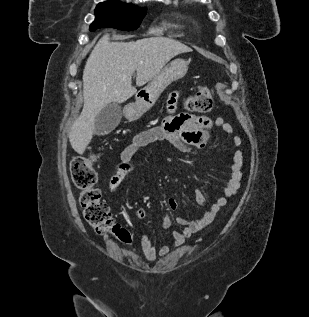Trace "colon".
<instances>
[{"mask_svg": "<svg viewBox=\"0 0 309 317\" xmlns=\"http://www.w3.org/2000/svg\"><path fill=\"white\" fill-rule=\"evenodd\" d=\"M211 92L202 87L187 99V108L193 112L206 113L212 109ZM95 157H76L70 163L73 183L81 190L80 204L85 220L102 235H111L118 240L130 242L129 233L115 222L109 207L101 200V192L96 188L97 174L93 164Z\"/></svg>", "mask_w": 309, "mask_h": 317, "instance_id": "1", "label": "colon"}]
</instances>
